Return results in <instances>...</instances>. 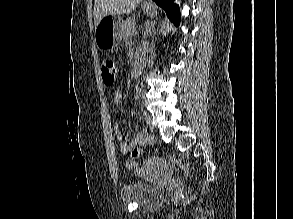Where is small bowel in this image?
Returning a JSON list of instances; mask_svg holds the SVG:
<instances>
[{
  "instance_id": "c3829d8e",
  "label": "small bowel",
  "mask_w": 293,
  "mask_h": 219,
  "mask_svg": "<svg viewBox=\"0 0 293 219\" xmlns=\"http://www.w3.org/2000/svg\"><path fill=\"white\" fill-rule=\"evenodd\" d=\"M122 102V95L119 91H116L112 95V103L114 107V112L117 113L119 106ZM114 135L116 139L119 141V149L121 153L128 154L131 152L132 149H134L137 146H140L143 140V137L145 135V131H140L136 133L133 138L130 140H123V132L121 130V127L118 124H115L114 126Z\"/></svg>"
}]
</instances>
